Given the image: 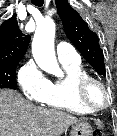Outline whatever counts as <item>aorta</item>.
<instances>
[{
  "label": "aorta",
  "instance_id": "aorta-1",
  "mask_svg": "<svg viewBox=\"0 0 117 136\" xmlns=\"http://www.w3.org/2000/svg\"><path fill=\"white\" fill-rule=\"evenodd\" d=\"M54 38V21L51 18L43 19L37 24L32 42V53L41 69L56 76H61L62 71L58 65L54 51Z\"/></svg>",
  "mask_w": 117,
  "mask_h": 136
}]
</instances>
